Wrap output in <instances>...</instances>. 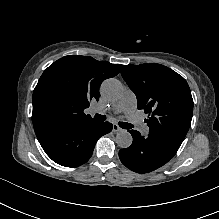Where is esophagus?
<instances>
[{
    "mask_svg": "<svg viewBox=\"0 0 219 219\" xmlns=\"http://www.w3.org/2000/svg\"><path fill=\"white\" fill-rule=\"evenodd\" d=\"M123 129L117 124H113V132H121Z\"/></svg>",
    "mask_w": 219,
    "mask_h": 219,
    "instance_id": "obj_1",
    "label": "esophagus"
}]
</instances>
